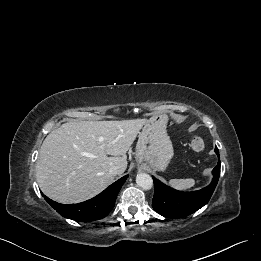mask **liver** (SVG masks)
<instances>
[{
  "instance_id": "1",
  "label": "liver",
  "mask_w": 261,
  "mask_h": 261,
  "mask_svg": "<svg viewBox=\"0 0 261 261\" xmlns=\"http://www.w3.org/2000/svg\"><path fill=\"white\" fill-rule=\"evenodd\" d=\"M145 123V119L80 121L54 129L43 141L36 164L41 191L63 204L96 196L113 182L111 166L119 167L120 174L126 170V153Z\"/></svg>"
}]
</instances>
